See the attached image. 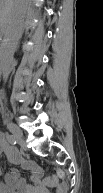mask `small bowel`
I'll list each match as a JSON object with an SVG mask.
<instances>
[{
    "mask_svg": "<svg viewBox=\"0 0 103 193\" xmlns=\"http://www.w3.org/2000/svg\"><path fill=\"white\" fill-rule=\"evenodd\" d=\"M0 151L7 161L19 165L31 174L32 184H29L17 168H11L4 176V184L1 193H66L67 186L60 183L57 177L43 179V169L28 159L20 156L19 152L11 147L4 135L0 136Z\"/></svg>",
    "mask_w": 103,
    "mask_h": 193,
    "instance_id": "small-bowel-1",
    "label": "small bowel"
}]
</instances>
